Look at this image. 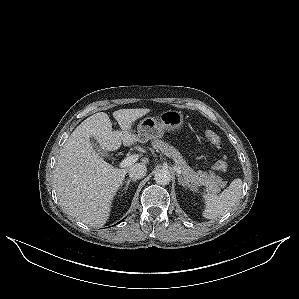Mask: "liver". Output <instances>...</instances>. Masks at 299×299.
Here are the masks:
<instances>
[{
	"mask_svg": "<svg viewBox=\"0 0 299 299\" xmlns=\"http://www.w3.org/2000/svg\"><path fill=\"white\" fill-rule=\"evenodd\" d=\"M150 112L148 108L121 109L113 112L121 131H114L104 112L85 119L67 139L53 171L54 187L63 211L79 221L101 227L109 218L111 203L128 169L105 162L92 147L94 137L105 151H115L138 142L131 130L133 123ZM148 159H142L146 164Z\"/></svg>",
	"mask_w": 299,
	"mask_h": 299,
	"instance_id": "liver-1",
	"label": "liver"
}]
</instances>
